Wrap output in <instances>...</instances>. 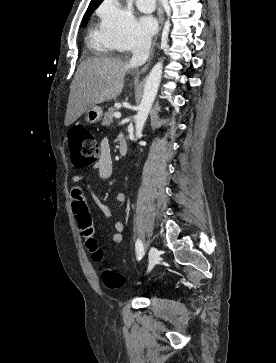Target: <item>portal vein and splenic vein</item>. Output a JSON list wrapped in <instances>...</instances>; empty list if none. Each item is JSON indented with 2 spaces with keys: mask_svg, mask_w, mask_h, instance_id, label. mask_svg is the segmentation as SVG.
Wrapping results in <instances>:
<instances>
[{
  "mask_svg": "<svg viewBox=\"0 0 276 363\" xmlns=\"http://www.w3.org/2000/svg\"><path fill=\"white\" fill-rule=\"evenodd\" d=\"M114 117L115 118H120L121 117V113L120 112H115L114 113Z\"/></svg>",
  "mask_w": 276,
  "mask_h": 363,
  "instance_id": "18ae733b",
  "label": "portal vein and splenic vein"
}]
</instances>
